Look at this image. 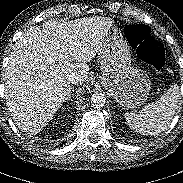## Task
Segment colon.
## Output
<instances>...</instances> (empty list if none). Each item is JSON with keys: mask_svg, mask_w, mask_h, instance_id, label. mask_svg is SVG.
Wrapping results in <instances>:
<instances>
[{"mask_svg": "<svg viewBox=\"0 0 183 183\" xmlns=\"http://www.w3.org/2000/svg\"><path fill=\"white\" fill-rule=\"evenodd\" d=\"M124 33L140 59L157 70L164 66L165 48L151 35L148 26L131 24L125 27Z\"/></svg>", "mask_w": 183, "mask_h": 183, "instance_id": "5ec220e1", "label": "colon"}]
</instances>
